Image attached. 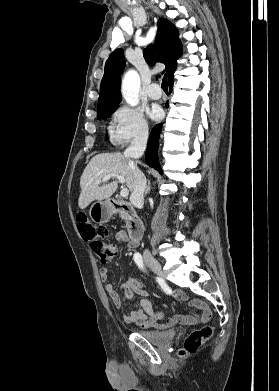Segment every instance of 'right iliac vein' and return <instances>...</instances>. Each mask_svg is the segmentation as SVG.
I'll return each mask as SVG.
<instances>
[{
  "mask_svg": "<svg viewBox=\"0 0 279 391\" xmlns=\"http://www.w3.org/2000/svg\"><path fill=\"white\" fill-rule=\"evenodd\" d=\"M146 263L156 274L163 275L162 267L157 259L152 256H147Z\"/></svg>",
  "mask_w": 279,
  "mask_h": 391,
  "instance_id": "1",
  "label": "right iliac vein"
}]
</instances>
